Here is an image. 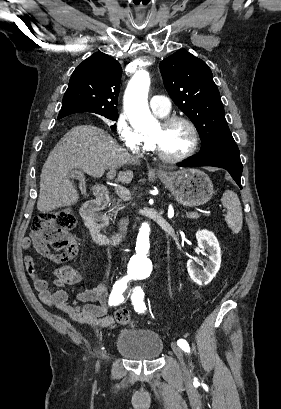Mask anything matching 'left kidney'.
I'll use <instances>...</instances> for the list:
<instances>
[{
  "label": "left kidney",
  "mask_w": 281,
  "mask_h": 409,
  "mask_svg": "<svg viewBox=\"0 0 281 409\" xmlns=\"http://www.w3.org/2000/svg\"><path fill=\"white\" fill-rule=\"evenodd\" d=\"M198 241V247L195 249V253H202V251H207L206 255L209 261H205L206 267H203V271H200L194 263V259H190L187 263V271L189 273L190 279L204 287L211 283L213 277L218 273L221 265V249L219 243L211 231H197L195 235Z\"/></svg>",
  "instance_id": "5707ae66"
}]
</instances>
